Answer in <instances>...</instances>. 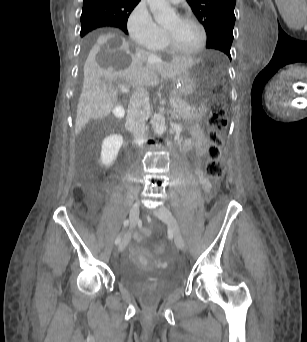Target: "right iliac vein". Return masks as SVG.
Segmentation results:
<instances>
[{
  "instance_id": "1",
  "label": "right iliac vein",
  "mask_w": 307,
  "mask_h": 342,
  "mask_svg": "<svg viewBox=\"0 0 307 342\" xmlns=\"http://www.w3.org/2000/svg\"><path fill=\"white\" fill-rule=\"evenodd\" d=\"M139 207H140V203L138 201L134 202L131 206L130 213H129L130 230H132L138 222ZM130 237H131V233L129 232V233H127V235L125 236V238L123 239L121 244L119 245V247H118L119 252L122 251L126 247L127 243L130 240Z\"/></svg>"
}]
</instances>
